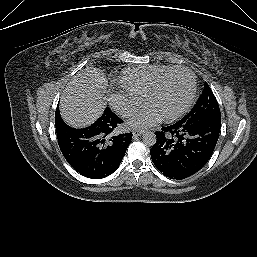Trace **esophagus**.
Masks as SVG:
<instances>
[{"label": "esophagus", "mask_w": 257, "mask_h": 257, "mask_svg": "<svg viewBox=\"0 0 257 257\" xmlns=\"http://www.w3.org/2000/svg\"><path fill=\"white\" fill-rule=\"evenodd\" d=\"M142 134H143L142 130H133V136L134 137L141 136Z\"/></svg>", "instance_id": "esophagus-1"}]
</instances>
